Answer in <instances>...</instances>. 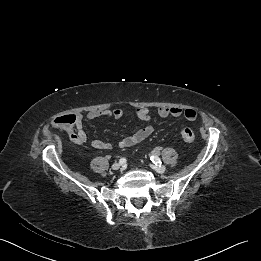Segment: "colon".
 <instances>
[{"instance_id":"colon-1","label":"colon","mask_w":261,"mask_h":261,"mask_svg":"<svg viewBox=\"0 0 261 261\" xmlns=\"http://www.w3.org/2000/svg\"><path fill=\"white\" fill-rule=\"evenodd\" d=\"M53 125L57 127L67 128L75 123V116L73 114H62L53 118ZM181 139L186 143H191L195 139L193 130L189 127H185L180 131Z\"/></svg>"}]
</instances>
